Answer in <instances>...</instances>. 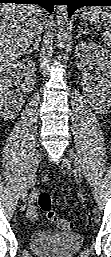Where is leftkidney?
I'll use <instances>...</instances> for the list:
<instances>
[{
	"mask_svg": "<svg viewBox=\"0 0 111 257\" xmlns=\"http://www.w3.org/2000/svg\"><path fill=\"white\" fill-rule=\"evenodd\" d=\"M77 67L88 76L87 66L90 63L101 74L94 81L92 101L102 111L111 107V53L109 50L92 41H81L76 47Z\"/></svg>",
	"mask_w": 111,
	"mask_h": 257,
	"instance_id": "left-kidney-1",
	"label": "left kidney"
}]
</instances>
